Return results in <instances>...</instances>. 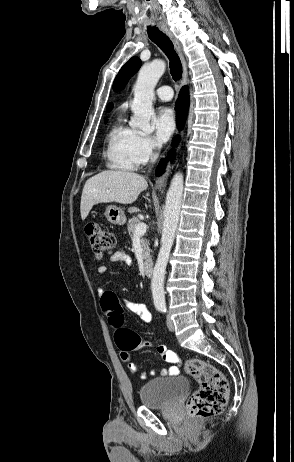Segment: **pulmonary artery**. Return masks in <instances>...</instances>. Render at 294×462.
<instances>
[{"label":"pulmonary artery","mask_w":294,"mask_h":462,"mask_svg":"<svg viewBox=\"0 0 294 462\" xmlns=\"http://www.w3.org/2000/svg\"><path fill=\"white\" fill-rule=\"evenodd\" d=\"M157 97L162 101H169L173 98V90L170 86H162L156 90Z\"/></svg>","instance_id":"1"}]
</instances>
